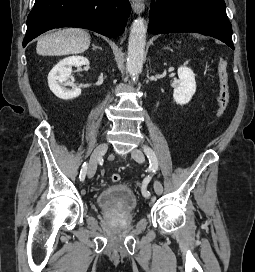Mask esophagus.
Here are the masks:
<instances>
[{
	"mask_svg": "<svg viewBox=\"0 0 255 272\" xmlns=\"http://www.w3.org/2000/svg\"><path fill=\"white\" fill-rule=\"evenodd\" d=\"M132 9L136 14H140L144 11L145 9V5L143 2H139V1H132Z\"/></svg>",
	"mask_w": 255,
	"mask_h": 272,
	"instance_id": "esophagus-1",
	"label": "esophagus"
}]
</instances>
